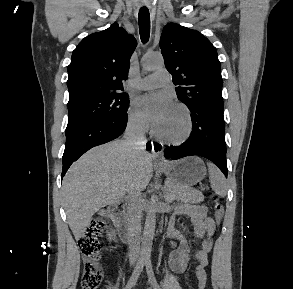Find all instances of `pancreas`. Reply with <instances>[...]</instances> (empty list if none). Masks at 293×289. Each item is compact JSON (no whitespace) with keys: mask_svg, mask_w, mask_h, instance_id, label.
I'll return each instance as SVG.
<instances>
[{"mask_svg":"<svg viewBox=\"0 0 293 289\" xmlns=\"http://www.w3.org/2000/svg\"><path fill=\"white\" fill-rule=\"evenodd\" d=\"M164 197L167 202L181 201L185 203H200L204 200V196L201 191L168 182L165 190Z\"/></svg>","mask_w":293,"mask_h":289,"instance_id":"pancreas-1","label":"pancreas"}]
</instances>
